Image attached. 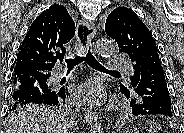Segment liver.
<instances>
[{
	"label": "liver",
	"instance_id": "liver-1",
	"mask_svg": "<svg viewBox=\"0 0 184 133\" xmlns=\"http://www.w3.org/2000/svg\"><path fill=\"white\" fill-rule=\"evenodd\" d=\"M6 133H67L64 118L45 105L32 104L12 115Z\"/></svg>",
	"mask_w": 184,
	"mask_h": 133
}]
</instances>
